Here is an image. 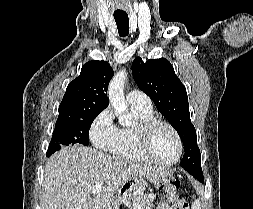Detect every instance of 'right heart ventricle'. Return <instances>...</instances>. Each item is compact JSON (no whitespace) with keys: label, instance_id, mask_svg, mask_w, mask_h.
I'll return each instance as SVG.
<instances>
[{"label":"right heart ventricle","instance_id":"1","mask_svg":"<svg viewBox=\"0 0 253 209\" xmlns=\"http://www.w3.org/2000/svg\"><path fill=\"white\" fill-rule=\"evenodd\" d=\"M130 106L132 112L138 119V123L154 117L152 106L132 103H130ZM136 125L127 126L120 130L118 143L112 151L118 157L132 161L144 162L147 161V159L142 155L138 146Z\"/></svg>","mask_w":253,"mask_h":209}]
</instances>
